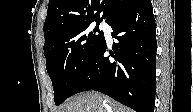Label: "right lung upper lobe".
Instances as JSON below:
<instances>
[{"mask_svg":"<svg viewBox=\"0 0 193 112\" xmlns=\"http://www.w3.org/2000/svg\"><path fill=\"white\" fill-rule=\"evenodd\" d=\"M136 0H49L48 12L44 23L45 43L56 33L68 27L108 23L116 15L131 6Z\"/></svg>","mask_w":193,"mask_h":112,"instance_id":"obj_1","label":"right lung upper lobe"}]
</instances>
